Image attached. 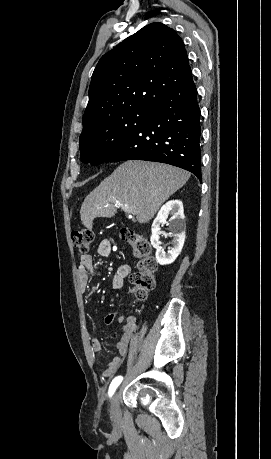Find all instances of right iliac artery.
<instances>
[{
	"label": "right iliac artery",
	"mask_w": 271,
	"mask_h": 459,
	"mask_svg": "<svg viewBox=\"0 0 271 459\" xmlns=\"http://www.w3.org/2000/svg\"><path fill=\"white\" fill-rule=\"evenodd\" d=\"M122 380H123L122 376H117L112 380L110 387H109V392H108L110 397L114 394L116 388L120 385Z\"/></svg>",
	"instance_id": "obj_1"
}]
</instances>
